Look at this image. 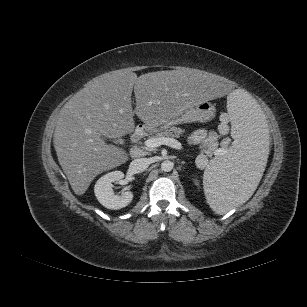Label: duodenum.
Wrapping results in <instances>:
<instances>
[{
    "label": "duodenum",
    "mask_w": 307,
    "mask_h": 307,
    "mask_svg": "<svg viewBox=\"0 0 307 307\" xmlns=\"http://www.w3.org/2000/svg\"><path fill=\"white\" fill-rule=\"evenodd\" d=\"M147 133L145 127H138L131 135V142L137 143L139 142Z\"/></svg>",
    "instance_id": "duodenum-1"
}]
</instances>
